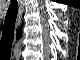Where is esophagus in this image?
<instances>
[{
  "instance_id": "esophagus-1",
  "label": "esophagus",
  "mask_w": 80,
  "mask_h": 60,
  "mask_svg": "<svg viewBox=\"0 0 80 60\" xmlns=\"http://www.w3.org/2000/svg\"><path fill=\"white\" fill-rule=\"evenodd\" d=\"M23 12H24V2L19 1V12H18V17H17V21H16L15 35H16V30L18 29V27L20 26V24L22 22Z\"/></svg>"
}]
</instances>
